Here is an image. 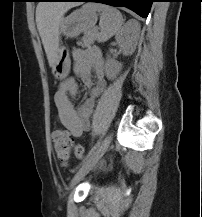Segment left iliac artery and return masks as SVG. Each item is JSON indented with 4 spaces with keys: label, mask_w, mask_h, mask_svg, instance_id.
I'll return each instance as SVG.
<instances>
[{
    "label": "left iliac artery",
    "mask_w": 202,
    "mask_h": 217,
    "mask_svg": "<svg viewBox=\"0 0 202 217\" xmlns=\"http://www.w3.org/2000/svg\"><path fill=\"white\" fill-rule=\"evenodd\" d=\"M102 142V137L96 142V144L94 146H92V148L89 150L88 154L86 155V157L83 159V161L79 164L78 167H80L81 165H83L89 158L90 156L95 152V150L100 146ZM77 167V168H78Z\"/></svg>",
    "instance_id": "1"
}]
</instances>
